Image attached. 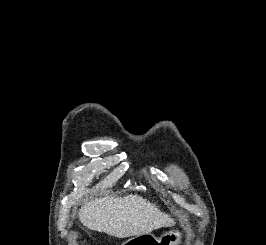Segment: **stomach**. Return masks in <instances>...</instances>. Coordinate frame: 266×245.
Segmentation results:
<instances>
[{
  "instance_id": "1",
  "label": "stomach",
  "mask_w": 266,
  "mask_h": 245,
  "mask_svg": "<svg viewBox=\"0 0 266 245\" xmlns=\"http://www.w3.org/2000/svg\"><path fill=\"white\" fill-rule=\"evenodd\" d=\"M136 242H155V237H153V233H136ZM157 243L158 245H179L180 235L175 231H170V233L162 235Z\"/></svg>"
}]
</instances>
